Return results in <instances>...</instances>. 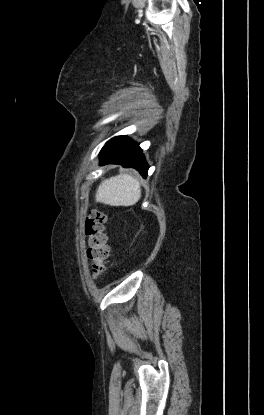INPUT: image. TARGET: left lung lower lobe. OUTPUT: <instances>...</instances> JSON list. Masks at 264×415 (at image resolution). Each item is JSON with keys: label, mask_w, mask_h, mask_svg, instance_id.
Segmentation results:
<instances>
[{"label": "left lung lower lobe", "mask_w": 264, "mask_h": 415, "mask_svg": "<svg viewBox=\"0 0 264 415\" xmlns=\"http://www.w3.org/2000/svg\"><path fill=\"white\" fill-rule=\"evenodd\" d=\"M100 164H120L126 168H135L146 178L148 165L139 145L126 136H117L109 140L100 152Z\"/></svg>", "instance_id": "obj_1"}]
</instances>
